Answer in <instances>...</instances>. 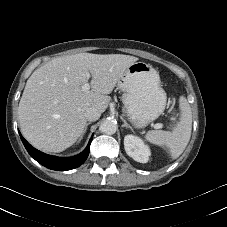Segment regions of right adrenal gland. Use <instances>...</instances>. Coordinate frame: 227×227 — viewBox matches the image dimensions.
Here are the masks:
<instances>
[{
	"mask_svg": "<svg viewBox=\"0 0 227 227\" xmlns=\"http://www.w3.org/2000/svg\"><path fill=\"white\" fill-rule=\"evenodd\" d=\"M90 124H91V122H88V123L86 124V126H85V128H84V131H83L82 135L80 136V138H79V141H78V142H80V141L82 140V138H83L84 134H85V133H86V131H87L88 125H90Z\"/></svg>",
	"mask_w": 227,
	"mask_h": 227,
	"instance_id": "obj_1",
	"label": "right adrenal gland"
}]
</instances>
